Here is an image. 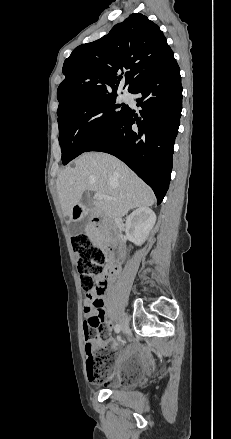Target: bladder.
I'll return each instance as SVG.
<instances>
[{
	"label": "bladder",
	"mask_w": 231,
	"mask_h": 439,
	"mask_svg": "<svg viewBox=\"0 0 231 439\" xmlns=\"http://www.w3.org/2000/svg\"><path fill=\"white\" fill-rule=\"evenodd\" d=\"M124 375L129 378L138 379L145 371L143 361L138 357L128 359V364L123 367Z\"/></svg>",
	"instance_id": "bladder-1"
}]
</instances>
